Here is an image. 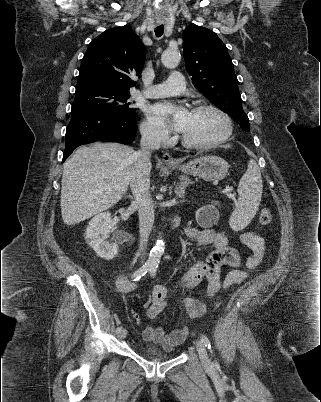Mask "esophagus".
Masks as SVG:
<instances>
[{"label": "esophagus", "instance_id": "34e87169", "mask_svg": "<svg viewBox=\"0 0 321 402\" xmlns=\"http://www.w3.org/2000/svg\"><path fill=\"white\" fill-rule=\"evenodd\" d=\"M162 160L167 165H173L179 163V161L173 158L168 152L163 153Z\"/></svg>", "mask_w": 321, "mask_h": 402}]
</instances>
